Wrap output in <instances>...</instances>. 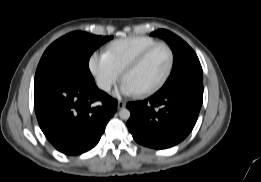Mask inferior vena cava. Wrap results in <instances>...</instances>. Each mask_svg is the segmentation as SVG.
<instances>
[{
  "label": "inferior vena cava",
  "mask_w": 261,
  "mask_h": 182,
  "mask_svg": "<svg viewBox=\"0 0 261 182\" xmlns=\"http://www.w3.org/2000/svg\"><path fill=\"white\" fill-rule=\"evenodd\" d=\"M101 88H102L103 90L108 91V90H110L111 86H110L109 83H104V84L101 85Z\"/></svg>",
  "instance_id": "602c4592"
}]
</instances>
